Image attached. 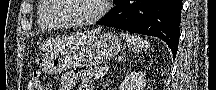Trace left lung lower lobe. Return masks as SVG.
Listing matches in <instances>:
<instances>
[{"mask_svg": "<svg viewBox=\"0 0 216 90\" xmlns=\"http://www.w3.org/2000/svg\"><path fill=\"white\" fill-rule=\"evenodd\" d=\"M182 3V0H117L115 8L97 24L159 37L175 57Z\"/></svg>", "mask_w": 216, "mask_h": 90, "instance_id": "1", "label": "left lung lower lobe"}]
</instances>
